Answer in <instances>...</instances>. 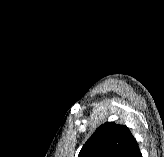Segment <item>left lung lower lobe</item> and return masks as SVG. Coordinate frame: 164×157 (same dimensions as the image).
Here are the masks:
<instances>
[{"label": "left lung lower lobe", "instance_id": "1", "mask_svg": "<svg viewBox=\"0 0 164 157\" xmlns=\"http://www.w3.org/2000/svg\"><path fill=\"white\" fill-rule=\"evenodd\" d=\"M127 157H142L137 141H135L134 144L132 145Z\"/></svg>", "mask_w": 164, "mask_h": 157}]
</instances>
